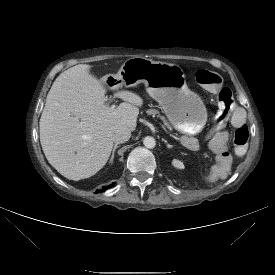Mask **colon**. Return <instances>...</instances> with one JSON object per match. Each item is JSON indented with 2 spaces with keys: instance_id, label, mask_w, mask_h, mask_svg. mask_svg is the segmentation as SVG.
Returning a JSON list of instances; mask_svg holds the SVG:
<instances>
[{
  "instance_id": "1",
  "label": "colon",
  "mask_w": 275,
  "mask_h": 275,
  "mask_svg": "<svg viewBox=\"0 0 275 275\" xmlns=\"http://www.w3.org/2000/svg\"><path fill=\"white\" fill-rule=\"evenodd\" d=\"M196 80L200 85L209 90H218L219 109L216 114L215 121L218 124L224 123L235 107V101L232 91L227 87L220 88L222 78L215 72L204 69L198 70L196 72ZM248 139L249 131L247 126H242L236 129L233 141L235 149L238 153L242 154L246 150Z\"/></svg>"
}]
</instances>
